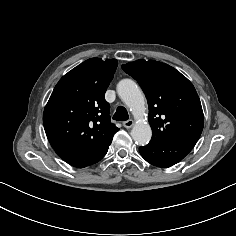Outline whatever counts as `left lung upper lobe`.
I'll return each instance as SVG.
<instances>
[{"instance_id": "1", "label": "left lung upper lobe", "mask_w": 236, "mask_h": 236, "mask_svg": "<svg viewBox=\"0 0 236 236\" xmlns=\"http://www.w3.org/2000/svg\"><path fill=\"white\" fill-rule=\"evenodd\" d=\"M144 91L150 142L196 143L204 126V115L192 83L173 67L154 60H137L122 65Z\"/></svg>"}]
</instances>
